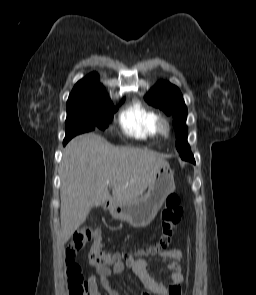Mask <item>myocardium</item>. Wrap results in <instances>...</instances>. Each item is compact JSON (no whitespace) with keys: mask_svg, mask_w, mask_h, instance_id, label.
Wrapping results in <instances>:
<instances>
[{"mask_svg":"<svg viewBox=\"0 0 256 295\" xmlns=\"http://www.w3.org/2000/svg\"><path fill=\"white\" fill-rule=\"evenodd\" d=\"M157 130L162 135H168L170 133V123L165 118H160L157 123Z\"/></svg>","mask_w":256,"mask_h":295,"instance_id":"1","label":"myocardium"}]
</instances>
